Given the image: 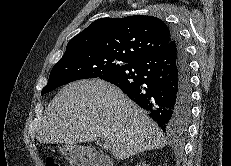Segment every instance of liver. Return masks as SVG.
<instances>
[{"instance_id": "1", "label": "liver", "mask_w": 231, "mask_h": 166, "mask_svg": "<svg viewBox=\"0 0 231 166\" xmlns=\"http://www.w3.org/2000/svg\"><path fill=\"white\" fill-rule=\"evenodd\" d=\"M100 137L109 139L117 160L166 145L148 114L119 88L101 79L64 86L46 108L36 135L40 143L69 145Z\"/></svg>"}]
</instances>
